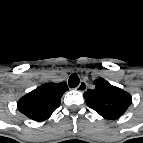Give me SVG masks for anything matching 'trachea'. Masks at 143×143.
Returning a JSON list of instances; mask_svg holds the SVG:
<instances>
[{
	"mask_svg": "<svg viewBox=\"0 0 143 143\" xmlns=\"http://www.w3.org/2000/svg\"><path fill=\"white\" fill-rule=\"evenodd\" d=\"M79 77L77 74H72L70 77H69V80H68V84L70 86V88H75L79 85Z\"/></svg>",
	"mask_w": 143,
	"mask_h": 143,
	"instance_id": "obj_1",
	"label": "trachea"
}]
</instances>
